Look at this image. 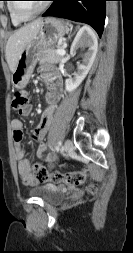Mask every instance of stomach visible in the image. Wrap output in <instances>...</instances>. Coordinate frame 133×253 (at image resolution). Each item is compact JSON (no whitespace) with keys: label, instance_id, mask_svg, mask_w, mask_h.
<instances>
[{"label":"stomach","instance_id":"stomach-1","mask_svg":"<svg viewBox=\"0 0 133 253\" xmlns=\"http://www.w3.org/2000/svg\"><path fill=\"white\" fill-rule=\"evenodd\" d=\"M67 29L55 18L42 20L37 36L23 49L12 74V85L22 89L29 82L42 52L62 41Z\"/></svg>","mask_w":133,"mask_h":253}]
</instances>
